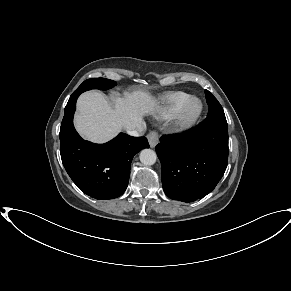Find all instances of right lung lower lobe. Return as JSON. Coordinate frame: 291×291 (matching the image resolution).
Wrapping results in <instances>:
<instances>
[{"label": "right lung lower lobe", "instance_id": "right-lung-lower-lobe-1", "mask_svg": "<svg viewBox=\"0 0 291 291\" xmlns=\"http://www.w3.org/2000/svg\"><path fill=\"white\" fill-rule=\"evenodd\" d=\"M79 95L75 91L65 107L59 134L62 163L85 194L95 199L117 198L128 186L134 155L148 148V141L145 137H131L124 133L105 144L83 140L73 126Z\"/></svg>", "mask_w": 291, "mask_h": 291}]
</instances>
